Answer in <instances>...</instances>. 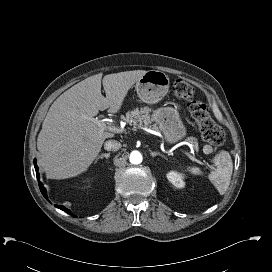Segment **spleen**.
<instances>
[{
    "label": "spleen",
    "instance_id": "1",
    "mask_svg": "<svg viewBox=\"0 0 272 272\" xmlns=\"http://www.w3.org/2000/svg\"><path fill=\"white\" fill-rule=\"evenodd\" d=\"M215 163L217 164V168L215 171L211 172L209 179L218 192L224 194L230 184L233 171V163L230 154L227 151H221L215 157ZM188 171L194 175H199L201 173L198 167H189Z\"/></svg>",
    "mask_w": 272,
    "mask_h": 272
}]
</instances>
